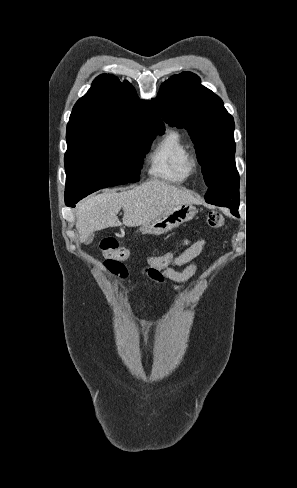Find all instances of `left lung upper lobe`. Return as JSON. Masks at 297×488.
<instances>
[{"mask_svg":"<svg viewBox=\"0 0 297 488\" xmlns=\"http://www.w3.org/2000/svg\"><path fill=\"white\" fill-rule=\"evenodd\" d=\"M200 81L191 72L174 75L161 85L152 102L166 123L186 129L191 136L208 186L206 202L228 207L235 215L239 174L234 161V120L223 101Z\"/></svg>","mask_w":297,"mask_h":488,"instance_id":"left-lung-upper-lobe-1","label":"left lung upper lobe"}]
</instances>
